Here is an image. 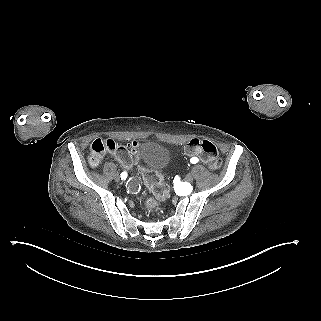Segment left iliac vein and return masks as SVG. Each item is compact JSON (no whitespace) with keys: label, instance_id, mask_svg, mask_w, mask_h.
Returning a JSON list of instances; mask_svg holds the SVG:
<instances>
[{"label":"left iliac vein","instance_id":"obj_1","mask_svg":"<svg viewBox=\"0 0 321 321\" xmlns=\"http://www.w3.org/2000/svg\"><path fill=\"white\" fill-rule=\"evenodd\" d=\"M185 181L186 182H192L193 181V174L192 173H188L186 176H185Z\"/></svg>","mask_w":321,"mask_h":321}]
</instances>
